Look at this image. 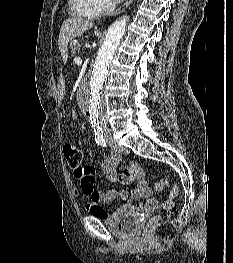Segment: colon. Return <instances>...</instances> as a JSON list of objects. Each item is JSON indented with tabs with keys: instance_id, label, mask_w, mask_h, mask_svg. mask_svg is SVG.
Masks as SVG:
<instances>
[{
	"instance_id": "1",
	"label": "colon",
	"mask_w": 233,
	"mask_h": 263,
	"mask_svg": "<svg viewBox=\"0 0 233 263\" xmlns=\"http://www.w3.org/2000/svg\"><path fill=\"white\" fill-rule=\"evenodd\" d=\"M64 156L68 162V165L74 170L76 175L87 174L90 172L88 168L82 166L83 154L81 150L74 144L68 143L63 147ZM168 181L166 179L160 180L156 183L155 188L157 190H163L167 188ZM179 193V187L175 185L169 195V198L163 203L164 208L172 209L174 207V199ZM161 220L160 216L153 217L145 227V230H150L154 225H156Z\"/></svg>"
}]
</instances>
